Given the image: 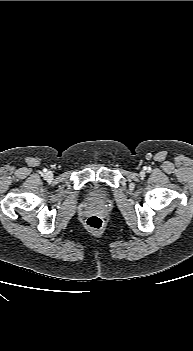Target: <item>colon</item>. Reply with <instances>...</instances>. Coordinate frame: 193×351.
Instances as JSON below:
<instances>
[{
	"label": "colon",
	"mask_w": 193,
	"mask_h": 351,
	"mask_svg": "<svg viewBox=\"0 0 193 351\" xmlns=\"http://www.w3.org/2000/svg\"><path fill=\"white\" fill-rule=\"evenodd\" d=\"M86 227L93 231H99L103 228V220L100 216L92 215L86 219Z\"/></svg>",
	"instance_id": "1"
}]
</instances>
